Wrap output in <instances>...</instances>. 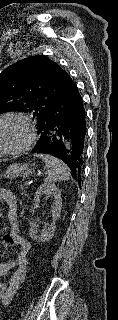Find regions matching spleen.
<instances>
[{"instance_id": "spleen-1", "label": "spleen", "mask_w": 118, "mask_h": 320, "mask_svg": "<svg viewBox=\"0 0 118 320\" xmlns=\"http://www.w3.org/2000/svg\"><path fill=\"white\" fill-rule=\"evenodd\" d=\"M48 165V182H54L58 180H63L67 176V167L61 163L59 160L51 158V157H44Z\"/></svg>"}]
</instances>
